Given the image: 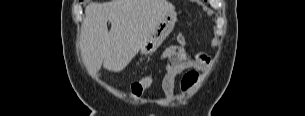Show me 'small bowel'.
<instances>
[{
  "mask_svg": "<svg viewBox=\"0 0 305 116\" xmlns=\"http://www.w3.org/2000/svg\"><path fill=\"white\" fill-rule=\"evenodd\" d=\"M185 44L170 46L166 49L163 57L167 59L166 72L162 80V89L167 99L173 100L175 97V78L187 70H192L193 78L183 77L180 88L182 92H187L197 81V71L203 70L208 64V56L203 53L190 55Z\"/></svg>",
  "mask_w": 305,
  "mask_h": 116,
  "instance_id": "c3829d8e",
  "label": "small bowel"
}]
</instances>
